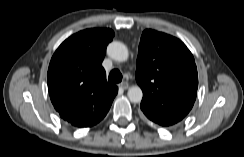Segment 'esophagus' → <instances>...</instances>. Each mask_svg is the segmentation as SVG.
I'll return each instance as SVG.
<instances>
[{"mask_svg": "<svg viewBox=\"0 0 244 157\" xmlns=\"http://www.w3.org/2000/svg\"><path fill=\"white\" fill-rule=\"evenodd\" d=\"M119 87L126 90L129 88V84L127 82H122L119 84Z\"/></svg>", "mask_w": 244, "mask_h": 157, "instance_id": "34e87169", "label": "esophagus"}]
</instances>
